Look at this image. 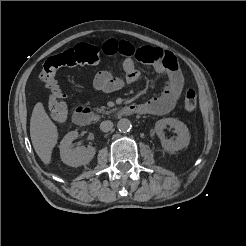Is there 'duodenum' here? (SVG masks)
Segmentation results:
<instances>
[{
	"instance_id": "1",
	"label": "duodenum",
	"mask_w": 246,
	"mask_h": 246,
	"mask_svg": "<svg viewBox=\"0 0 246 246\" xmlns=\"http://www.w3.org/2000/svg\"><path fill=\"white\" fill-rule=\"evenodd\" d=\"M141 108L139 104H130L123 107L120 114L123 116H129L132 114H140ZM94 119V114L86 106H79L76 108L73 114V122L78 126L89 125Z\"/></svg>"
}]
</instances>
